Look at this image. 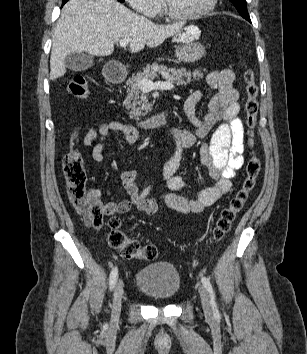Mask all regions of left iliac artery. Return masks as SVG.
Returning a JSON list of instances; mask_svg holds the SVG:
<instances>
[{
	"label": "left iliac artery",
	"instance_id": "left-iliac-artery-1",
	"mask_svg": "<svg viewBox=\"0 0 307 354\" xmlns=\"http://www.w3.org/2000/svg\"><path fill=\"white\" fill-rule=\"evenodd\" d=\"M201 281H202L204 287L206 288V290L209 293V296H210V299H211L210 302H211L213 311L217 312V305H216V301H215V293H214V290H213V287H212V284H211L209 278H207L205 276H202L201 277Z\"/></svg>",
	"mask_w": 307,
	"mask_h": 354
}]
</instances>
